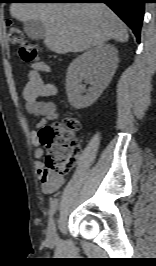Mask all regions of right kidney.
<instances>
[{"mask_svg":"<svg viewBox=\"0 0 156 266\" xmlns=\"http://www.w3.org/2000/svg\"><path fill=\"white\" fill-rule=\"evenodd\" d=\"M118 61V51L111 44L94 47L74 59L66 75L69 103L76 109L92 105L110 83ZM83 80L90 84L87 90Z\"/></svg>","mask_w":156,"mask_h":266,"instance_id":"1","label":"right kidney"}]
</instances>
